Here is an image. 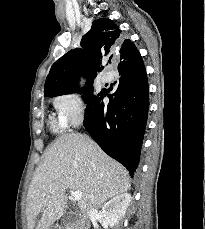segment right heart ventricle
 Wrapping results in <instances>:
<instances>
[{"label":"right heart ventricle","mask_w":205,"mask_h":229,"mask_svg":"<svg viewBox=\"0 0 205 229\" xmlns=\"http://www.w3.org/2000/svg\"><path fill=\"white\" fill-rule=\"evenodd\" d=\"M51 125H52V129L54 131H61L64 129V126L59 122V121H52L51 122Z\"/></svg>","instance_id":"obj_1"}]
</instances>
